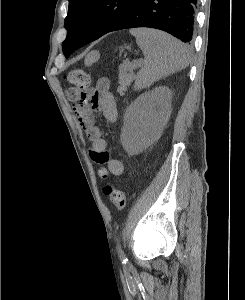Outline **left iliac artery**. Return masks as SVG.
I'll return each instance as SVG.
<instances>
[{
	"label": "left iliac artery",
	"mask_w": 245,
	"mask_h": 300,
	"mask_svg": "<svg viewBox=\"0 0 245 300\" xmlns=\"http://www.w3.org/2000/svg\"><path fill=\"white\" fill-rule=\"evenodd\" d=\"M117 249H118V254H119V257H120L122 263L126 264L127 263V258L125 257V254H124L123 250L121 249V245H120L119 240H117Z\"/></svg>",
	"instance_id": "left-iliac-artery-1"
}]
</instances>
